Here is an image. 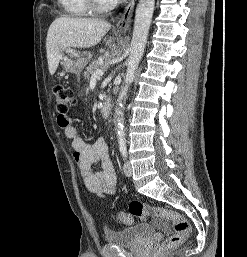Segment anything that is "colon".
Returning a JSON list of instances; mask_svg holds the SVG:
<instances>
[{
	"label": "colon",
	"instance_id": "1",
	"mask_svg": "<svg viewBox=\"0 0 247 257\" xmlns=\"http://www.w3.org/2000/svg\"><path fill=\"white\" fill-rule=\"evenodd\" d=\"M54 94L58 116L62 117L64 124H67V114L76 102L74 92L68 86L59 84L55 86ZM150 214L157 219L170 221L173 227V233L161 243L160 251L162 253L170 252L179 247L191 232L188 220L178 212L163 207L150 206L136 200L130 202L129 212L118 213L117 219L125 225H130L134 217L144 220Z\"/></svg>",
	"mask_w": 247,
	"mask_h": 257
}]
</instances>
